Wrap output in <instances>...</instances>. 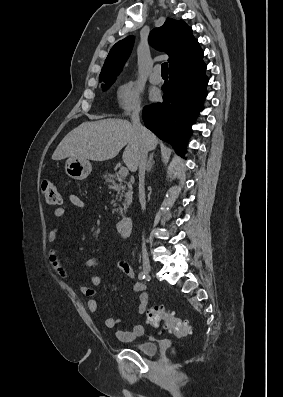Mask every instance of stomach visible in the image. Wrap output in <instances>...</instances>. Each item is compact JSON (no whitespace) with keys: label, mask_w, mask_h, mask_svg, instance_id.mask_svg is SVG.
<instances>
[{"label":"stomach","mask_w":283,"mask_h":397,"mask_svg":"<svg viewBox=\"0 0 283 397\" xmlns=\"http://www.w3.org/2000/svg\"><path fill=\"white\" fill-rule=\"evenodd\" d=\"M91 163L86 159L69 157L65 163L66 174L75 179L83 180L91 173Z\"/></svg>","instance_id":"1"}]
</instances>
